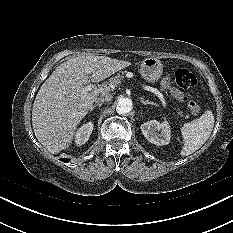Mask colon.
<instances>
[{
  "label": "colon",
  "instance_id": "1",
  "mask_svg": "<svg viewBox=\"0 0 233 233\" xmlns=\"http://www.w3.org/2000/svg\"><path fill=\"white\" fill-rule=\"evenodd\" d=\"M175 83L187 92V104L192 115L200 113V106L193 99V90L197 85L196 76L185 68H177L173 73Z\"/></svg>",
  "mask_w": 233,
  "mask_h": 233
}]
</instances>
